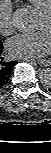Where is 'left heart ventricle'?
<instances>
[{
	"instance_id": "left-heart-ventricle-1",
	"label": "left heart ventricle",
	"mask_w": 51,
	"mask_h": 153,
	"mask_svg": "<svg viewBox=\"0 0 51 153\" xmlns=\"http://www.w3.org/2000/svg\"><path fill=\"white\" fill-rule=\"evenodd\" d=\"M37 28L40 30H51V19L48 17H45L43 15H40Z\"/></svg>"
}]
</instances>
